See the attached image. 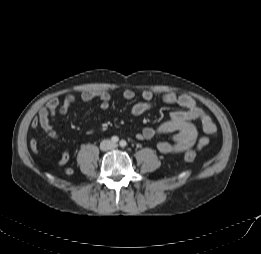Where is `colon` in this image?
Segmentation results:
<instances>
[{
	"label": "colon",
	"mask_w": 261,
	"mask_h": 254,
	"mask_svg": "<svg viewBox=\"0 0 261 254\" xmlns=\"http://www.w3.org/2000/svg\"><path fill=\"white\" fill-rule=\"evenodd\" d=\"M184 158L187 162H194L197 158V154L194 150H188L185 152Z\"/></svg>",
	"instance_id": "5ec220e1"
}]
</instances>
